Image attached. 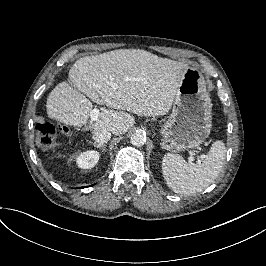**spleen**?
<instances>
[{"label":"spleen","instance_id":"obj_1","mask_svg":"<svg viewBox=\"0 0 266 266\" xmlns=\"http://www.w3.org/2000/svg\"><path fill=\"white\" fill-rule=\"evenodd\" d=\"M226 156L225 143L215 141L200 164L188 163L178 154L163 155L161 172L167 187L181 195H195L221 174Z\"/></svg>","mask_w":266,"mask_h":266}]
</instances>
